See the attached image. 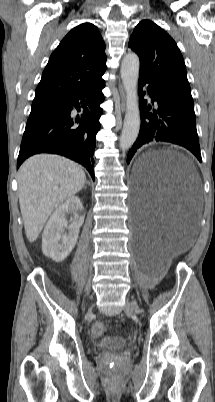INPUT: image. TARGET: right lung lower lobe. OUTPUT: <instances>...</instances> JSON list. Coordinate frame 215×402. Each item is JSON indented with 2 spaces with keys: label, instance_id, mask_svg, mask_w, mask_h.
Instances as JSON below:
<instances>
[{
  "label": "right lung lower lobe",
  "instance_id": "1",
  "mask_svg": "<svg viewBox=\"0 0 215 402\" xmlns=\"http://www.w3.org/2000/svg\"><path fill=\"white\" fill-rule=\"evenodd\" d=\"M105 81L100 77L87 88L73 93L60 102L57 110L27 126L23 134L17 168L37 153H54L82 164L95 179L93 153L95 136L100 128V104L104 97L101 90ZM83 110L75 117L73 109Z\"/></svg>",
  "mask_w": 215,
  "mask_h": 402
}]
</instances>
